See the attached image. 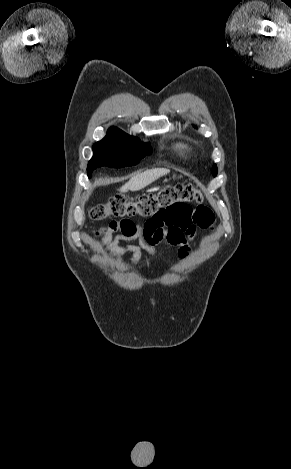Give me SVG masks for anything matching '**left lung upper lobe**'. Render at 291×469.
Listing matches in <instances>:
<instances>
[{
	"instance_id": "obj_1",
	"label": "left lung upper lobe",
	"mask_w": 291,
	"mask_h": 469,
	"mask_svg": "<svg viewBox=\"0 0 291 469\" xmlns=\"http://www.w3.org/2000/svg\"><path fill=\"white\" fill-rule=\"evenodd\" d=\"M212 174H213V176L217 175V166H216V164L212 167Z\"/></svg>"
}]
</instances>
